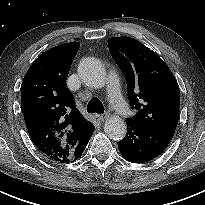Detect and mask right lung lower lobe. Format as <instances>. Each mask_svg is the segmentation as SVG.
<instances>
[{"instance_id":"right-lung-lower-lobe-1","label":"right lung lower lobe","mask_w":205,"mask_h":205,"mask_svg":"<svg viewBox=\"0 0 205 205\" xmlns=\"http://www.w3.org/2000/svg\"><path fill=\"white\" fill-rule=\"evenodd\" d=\"M93 131H94V128L74 148L73 155H72V157H73L72 162L81 157L87 143L89 142V140L93 134Z\"/></svg>"}]
</instances>
